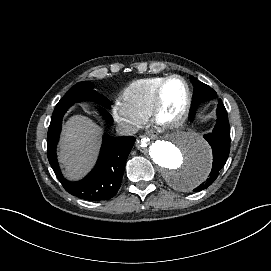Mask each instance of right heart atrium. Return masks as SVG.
<instances>
[{"label":"right heart atrium","instance_id":"obj_1","mask_svg":"<svg viewBox=\"0 0 271 271\" xmlns=\"http://www.w3.org/2000/svg\"><path fill=\"white\" fill-rule=\"evenodd\" d=\"M112 114L117 121H125L129 124L131 131H135L139 128L141 122L136 120L127 111L121 100H116L112 106Z\"/></svg>","mask_w":271,"mask_h":271}]
</instances>
